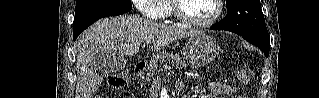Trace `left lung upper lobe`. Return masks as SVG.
Returning <instances> with one entry per match:
<instances>
[{
	"mask_svg": "<svg viewBox=\"0 0 319 98\" xmlns=\"http://www.w3.org/2000/svg\"><path fill=\"white\" fill-rule=\"evenodd\" d=\"M227 15L216 25L246 37L269 39L260 0H226Z\"/></svg>",
	"mask_w": 319,
	"mask_h": 98,
	"instance_id": "1",
	"label": "left lung upper lobe"
}]
</instances>
